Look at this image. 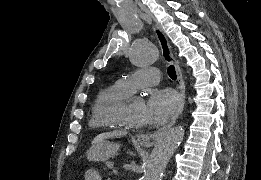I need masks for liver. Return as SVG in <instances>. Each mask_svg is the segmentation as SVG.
I'll return each instance as SVG.
<instances>
[{
  "instance_id": "6515ba94",
  "label": "liver",
  "mask_w": 261,
  "mask_h": 180,
  "mask_svg": "<svg viewBox=\"0 0 261 180\" xmlns=\"http://www.w3.org/2000/svg\"><path fill=\"white\" fill-rule=\"evenodd\" d=\"M126 134H128V132H104V134H98L92 144H99V142H104V140H108V138H122V136H126Z\"/></svg>"
}]
</instances>
